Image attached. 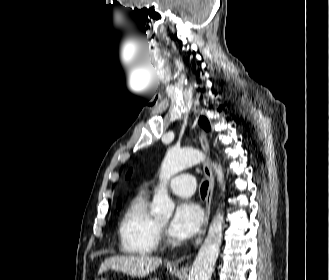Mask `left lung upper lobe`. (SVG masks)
I'll return each mask as SVG.
<instances>
[{
    "instance_id": "left-lung-upper-lobe-1",
    "label": "left lung upper lobe",
    "mask_w": 329,
    "mask_h": 280,
    "mask_svg": "<svg viewBox=\"0 0 329 280\" xmlns=\"http://www.w3.org/2000/svg\"><path fill=\"white\" fill-rule=\"evenodd\" d=\"M199 124H200L203 128H205V129H208V128H209V122H208V120H207L205 117H201V118H200V120H199ZM131 172H132V170H130V171L127 173L126 178H129V177H130ZM117 208H119V209L121 208V202H120V200H118Z\"/></svg>"
}]
</instances>
